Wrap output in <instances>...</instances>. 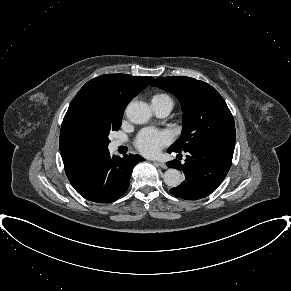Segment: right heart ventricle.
Listing matches in <instances>:
<instances>
[{"label":"right heart ventricle","mask_w":291,"mask_h":291,"mask_svg":"<svg viewBox=\"0 0 291 291\" xmlns=\"http://www.w3.org/2000/svg\"><path fill=\"white\" fill-rule=\"evenodd\" d=\"M163 100H167L172 102L171 98L164 93H159L153 96L152 101H163Z\"/></svg>","instance_id":"1"}]
</instances>
